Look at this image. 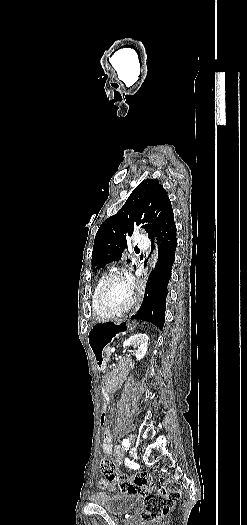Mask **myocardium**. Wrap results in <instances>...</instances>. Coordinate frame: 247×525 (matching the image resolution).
Returning <instances> with one entry per match:
<instances>
[{"label": "myocardium", "instance_id": "obj_1", "mask_svg": "<svg viewBox=\"0 0 247 525\" xmlns=\"http://www.w3.org/2000/svg\"><path fill=\"white\" fill-rule=\"evenodd\" d=\"M120 277H127L133 280L132 276L124 270L111 272L96 286V289H95L96 297L100 299V294L102 290L105 288V286L113 278H120ZM133 305H134V299L132 297V294H130L128 300L125 303H116L112 305H106V304L101 303L100 301L99 308L108 315H119L122 312L129 310Z\"/></svg>", "mask_w": 247, "mask_h": 525}]
</instances>
